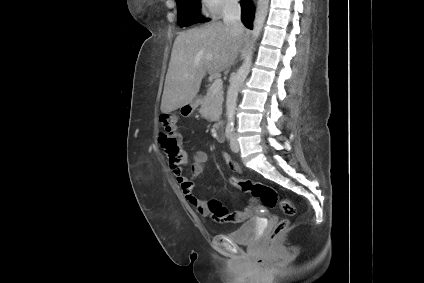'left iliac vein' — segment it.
Returning a JSON list of instances; mask_svg holds the SVG:
<instances>
[{
  "mask_svg": "<svg viewBox=\"0 0 424 283\" xmlns=\"http://www.w3.org/2000/svg\"><path fill=\"white\" fill-rule=\"evenodd\" d=\"M230 147H231V150L233 151V152H239V143H238V141H237V136H236V133H233L232 134V137H231V140H230Z\"/></svg>",
  "mask_w": 424,
  "mask_h": 283,
  "instance_id": "left-iliac-vein-1",
  "label": "left iliac vein"
}]
</instances>
